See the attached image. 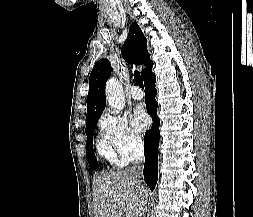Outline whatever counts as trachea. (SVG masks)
Masks as SVG:
<instances>
[{"mask_svg": "<svg viewBox=\"0 0 253 217\" xmlns=\"http://www.w3.org/2000/svg\"><path fill=\"white\" fill-rule=\"evenodd\" d=\"M134 81L136 82V84L139 87H141V88L144 87V85H143V79H142V77H141V75H140V73L138 71L134 72Z\"/></svg>", "mask_w": 253, "mask_h": 217, "instance_id": "3493384b", "label": "trachea"}]
</instances>
